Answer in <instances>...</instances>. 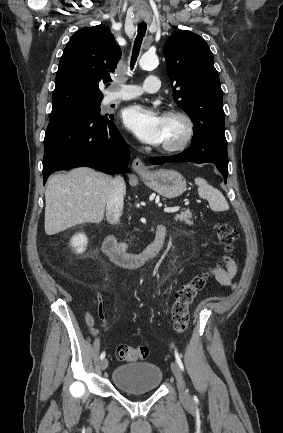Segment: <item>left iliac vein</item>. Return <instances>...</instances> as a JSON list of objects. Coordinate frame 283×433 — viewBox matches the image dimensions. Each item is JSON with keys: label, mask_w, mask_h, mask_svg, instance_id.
I'll list each match as a JSON object with an SVG mask.
<instances>
[{"label": "left iliac vein", "mask_w": 283, "mask_h": 433, "mask_svg": "<svg viewBox=\"0 0 283 433\" xmlns=\"http://www.w3.org/2000/svg\"><path fill=\"white\" fill-rule=\"evenodd\" d=\"M171 369H172V372H173V374L177 380L180 398L182 399V401L185 405L190 406L191 405V398H190L189 393L186 390V386H185L179 365L176 362H172L171 363Z\"/></svg>", "instance_id": "4c4485c4"}]
</instances>
